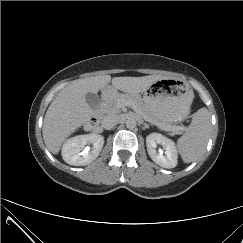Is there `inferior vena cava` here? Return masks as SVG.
Segmentation results:
<instances>
[{
	"mask_svg": "<svg viewBox=\"0 0 243 243\" xmlns=\"http://www.w3.org/2000/svg\"><path fill=\"white\" fill-rule=\"evenodd\" d=\"M117 124H118V118L116 115H113V114H108V115L104 116L101 121V126L106 130L112 129Z\"/></svg>",
	"mask_w": 243,
	"mask_h": 243,
	"instance_id": "inferior-vena-cava-1",
	"label": "inferior vena cava"
}]
</instances>
